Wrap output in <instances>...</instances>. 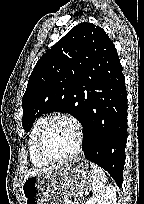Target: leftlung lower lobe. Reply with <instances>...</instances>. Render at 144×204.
<instances>
[{
  "instance_id": "0a47b994",
  "label": "left lung lower lobe",
  "mask_w": 144,
  "mask_h": 204,
  "mask_svg": "<svg viewBox=\"0 0 144 204\" xmlns=\"http://www.w3.org/2000/svg\"><path fill=\"white\" fill-rule=\"evenodd\" d=\"M85 158L106 170L121 187L127 142V94L120 60H104L88 73Z\"/></svg>"
}]
</instances>
